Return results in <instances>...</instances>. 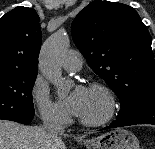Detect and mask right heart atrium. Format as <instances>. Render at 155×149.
<instances>
[{"label": "right heart atrium", "mask_w": 155, "mask_h": 149, "mask_svg": "<svg viewBox=\"0 0 155 149\" xmlns=\"http://www.w3.org/2000/svg\"><path fill=\"white\" fill-rule=\"evenodd\" d=\"M32 97L45 122L55 125L67 123V112L60 104L51 100L47 86L40 79H37L32 87Z\"/></svg>", "instance_id": "right-heart-atrium-1"}]
</instances>
